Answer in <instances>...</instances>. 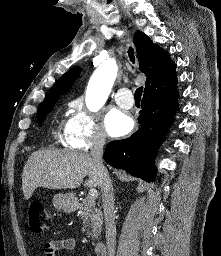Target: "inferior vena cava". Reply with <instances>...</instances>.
<instances>
[{"label":"inferior vena cava","instance_id":"602c4592","mask_svg":"<svg viewBox=\"0 0 221 256\" xmlns=\"http://www.w3.org/2000/svg\"><path fill=\"white\" fill-rule=\"evenodd\" d=\"M105 138L103 135H96L93 138L91 147V157L100 172L101 190L103 197V209L105 216L106 227V244L108 249V256L115 255L116 246V225H115V206L113 187L107 169L102 162L103 146Z\"/></svg>","mask_w":221,"mask_h":256}]
</instances>
